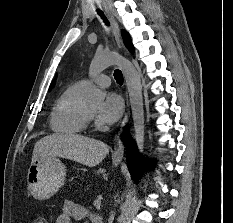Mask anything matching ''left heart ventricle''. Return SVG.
Masks as SVG:
<instances>
[{
    "instance_id": "obj_1",
    "label": "left heart ventricle",
    "mask_w": 233,
    "mask_h": 223,
    "mask_svg": "<svg viewBox=\"0 0 233 223\" xmlns=\"http://www.w3.org/2000/svg\"><path fill=\"white\" fill-rule=\"evenodd\" d=\"M99 106H100V104H93V105L87 106V108L89 109V111H90L93 115H95V114L98 112V110H99Z\"/></svg>"
}]
</instances>
